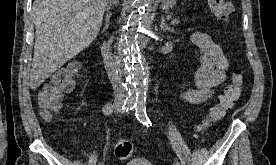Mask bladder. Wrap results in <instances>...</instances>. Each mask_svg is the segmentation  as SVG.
<instances>
[{
  "mask_svg": "<svg viewBox=\"0 0 276 165\" xmlns=\"http://www.w3.org/2000/svg\"><path fill=\"white\" fill-rule=\"evenodd\" d=\"M125 165H153L150 161L144 158H134L129 160Z\"/></svg>",
  "mask_w": 276,
  "mask_h": 165,
  "instance_id": "bladder-1",
  "label": "bladder"
}]
</instances>
